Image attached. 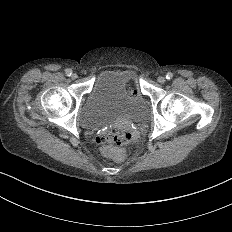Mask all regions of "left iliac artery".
<instances>
[{
  "instance_id": "obj_1",
  "label": "left iliac artery",
  "mask_w": 232,
  "mask_h": 232,
  "mask_svg": "<svg viewBox=\"0 0 232 232\" xmlns=\"http://www.w3.org/2000/svg\"><path fill=\"white\" fill-rule=\"evenodd\" d=\"M172 77H173L172 72H168V73L166 74V79L170 80V79H172Z\"/></svg>"
}]
</instances>
